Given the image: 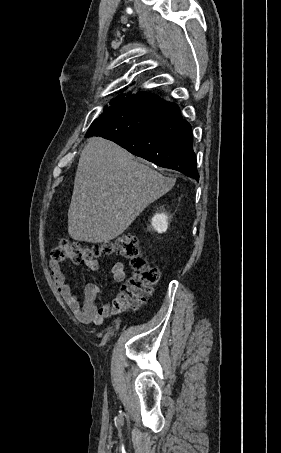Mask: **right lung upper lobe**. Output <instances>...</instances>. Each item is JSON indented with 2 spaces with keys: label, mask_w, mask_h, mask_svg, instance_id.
I'll list each match as a JSON object with an SVG mask.
<instances>
[{
  "label": "right lung upper lobe",
  "mask_w": 281,
  "mask_h": 453,
  "mask_svg": "<svg viewBox=\"0 0 281 453\" xmlns=\"http://www.w3.org/2000/svg\"><path fill=\"white\" fill-rule=\"evenodd\" d=\"M146 93L147 92H138L136 94H132L131 92H129L128 94H123L121 96L116 97L113 101L110 102V104H111V106L115 105V104H119L124 101L135 99L136 97H139Z\"/></svg>",
  "instance_id": "1"
}]
</instances>
